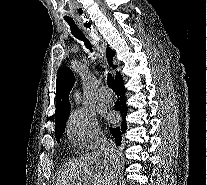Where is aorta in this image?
<instances>
[{
  "label": "aorta",
  "mask_w": 207,
  "mask_h": 185,
  "mask_svg": "<svg viewBox=\"0 0 207 185\" xmlns=\"http://www.w3.org/2000/svg\"><path fill=\"white\" fill-rule=\"evenodd\" d=\"M73 98H74L76 103H80L81 97H80V93L77 90L75 91V93L73 95Z\"/></svg>",
  "instance_id": "obj_1"
}]
</instances>
